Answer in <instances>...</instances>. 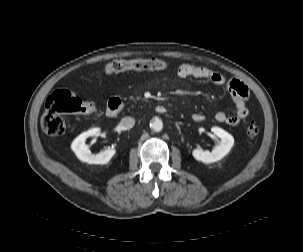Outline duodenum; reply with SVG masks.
<instances>
[{
    "instance_id": "duodenum-1",
    "label": "duodenum",
    "mask_w": 303,
    "mask_h": 252,
    "mask_svg": "<svg viewBox=\"0 0 303 252\" xmlns=\"http://www.w3.org/2000/svg\"><path fill=\"white\" fill-rule=\"evenodd\" d=\"M121 109H122V101L118 98L114 99L108 105L107 116L112 118V117L116 116L121 111ZM156 111L158 113L163 114V113L167 112V109L163 105H158L156 107Z\"/></svg>"
}]
</instances>
